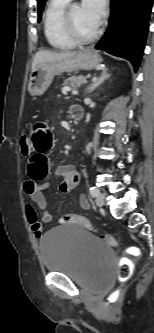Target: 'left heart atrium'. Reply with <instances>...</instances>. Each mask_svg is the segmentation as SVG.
Instances as JSON below:
<instances>
[{
  "mask_svg": "<svg viewBox=\"0 0 154 333\" xmlns=\"http://www.w3.org/2000/svg\"><path fill=\"white\" fill-rule=\"evenodd\" d=\"M81 8L90 23L95 27L101 24L105 13V0H83Z\"/></svg>",
  "mask_w": 154,
  "mask_h": 333,
  "instance_id": "39dd6f15",
  "label": "left heart atrium"
}]
</instances>
